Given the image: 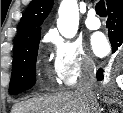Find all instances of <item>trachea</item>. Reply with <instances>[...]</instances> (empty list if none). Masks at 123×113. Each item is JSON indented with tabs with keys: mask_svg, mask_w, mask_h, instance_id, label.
Here are the masks:
<instances>
[{
	"mask_svg": "<svg viewBox=\"0 0 123 113\" xmlns=\"http://www.w3.org/2000/svg\"><path fill=\"white\" fill-rule=\"evenodd\" d=\"M96 13L100 16V17H106L107 16V11H106V7H105V2L104 0H100L97 4H96Z\"/></svg>",
	"mask_w": 123,
	"mask_h": 113,
	"instance_id": "3493384b",
	"label": "trachea"
}]
</instances>
